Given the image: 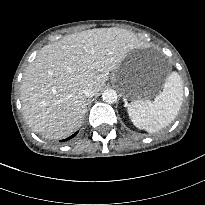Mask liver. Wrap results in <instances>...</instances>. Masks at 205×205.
Listing matches in <instances>:
<instances>
[{
  "label": "liver",
  "instance_id": "liver-1",
  "mask_svg": "<svg viewBox=\"0 0 205 205\" xmlns=\"http://www.w3.org/2000/svg\"><path fill=\"white\" fill-rule=\"evenodd\" d=\"M137 46L136 36L119 28H96L65 36L44 46L26 68L20 87L23 115L45 138L63 139L82 124L83 89L97 94Z\"/></svg>",
  "mask_w": 205,
  "mask_h": 205
}]
</instances>
